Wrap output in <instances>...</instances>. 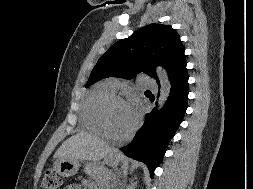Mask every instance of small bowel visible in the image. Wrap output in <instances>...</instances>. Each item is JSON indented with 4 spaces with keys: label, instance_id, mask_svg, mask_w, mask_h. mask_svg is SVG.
Segmentation results:
<instances>
[{
    "label": "small bowel",
    "instance_id": "small-bowel-1",
    "mask_svg": "<svg viewBox=\"0 0 253 189\" xmlns=\"http://www.w3.org/2000/svg\"><path fill=\"white\" fill-rule=\"evenodd\" d=\"M92 184L90 182H83L82 184H72L69 185L66 189H91Z\"/></svg>",
    "mask_w": 253,
    "mask_h": 189
}]
</instances>
